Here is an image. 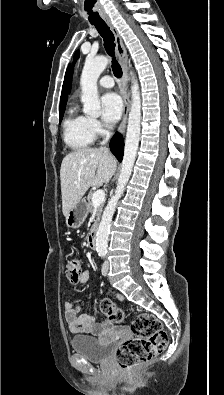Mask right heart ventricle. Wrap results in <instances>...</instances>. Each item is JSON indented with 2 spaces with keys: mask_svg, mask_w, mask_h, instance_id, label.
Here are the masks:
<instances>
[{
  "mask_svg": "<svg viewBox=\"0 0 224 395\" xmlns=\"http://www.w3.org/2000/svg\"><path fill=\"white\" fill-rule=\"evenodd\" d=\"M95 134L90 126V118L71 107L64 121V141L75 150L85 149L93 144Z\"/></svg>",
  "mask_w": 224,
  "mask_h": 395,
  "instance_id": "1",
  "label": "right heart ventricle"
}]
</instances>
